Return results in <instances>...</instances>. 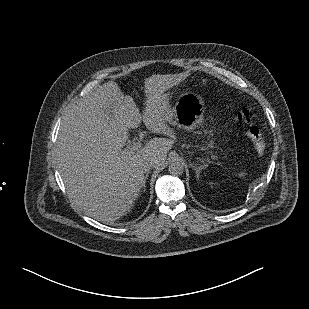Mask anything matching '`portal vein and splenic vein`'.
Returning a JSON list of instances; mask_svg holds the SVG:
<instances>
[{
  "label": "portal vein and splenic vein",
  "instance_id": "18ae733b",
  "mask_svg": "<svg viewBox=\"0 0 309 309\" xmlns=\"http://www.w3.org/2000/svg\"><path fill=\"white\" fill-rule=\"evenodd\" d=\"M140 148H142V143L140 141L134 142L131 147L133 150H139Z\"/></svg>",
  "mask_w": 309,
  "mask_h": 309
}]
</instances>
